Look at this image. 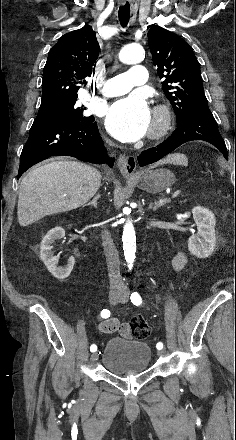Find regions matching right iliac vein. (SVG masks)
I'll list each match as a JSON object with an SVG mask.
<instances>
[{
    "label": "right iliac vein",
    "mask_w": 236,
    "mask_h": 440,
    "mask_svg": "<svg viewBox=\"0 0 236 440\" xmlns=\"http://www.w3.org/2000/svg\"><path fill=\"white\" fill-rule=\"evenodd\" d=\"M121 297V293L117 292V291H111L109 293V301L111 304H116V302L119 300V298ZM98 358V353L95 352L91 355V361L94 362L96 361Z\"/></svg>",
    "instance_id": "obj_1"
}]
</instances>
